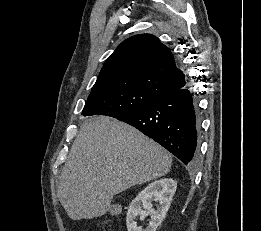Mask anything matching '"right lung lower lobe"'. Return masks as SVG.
<instances>
[{"mask_svg": "<svg viewBox=\"0 0 261 231\" xmlns=\"http://www.w3.org/2000/svg\"><path fill=\"white\" fill-rule=\"evenodd\" d=\"M158 142L185 165L196 162L200 115L196 94L187 87L170 92L151 104L117 118Z\"/></svg>", "mask_w": 261, "mask_h": 231, "instance_id": "1", "label": "right lung lower lobe"}]
</instances>
